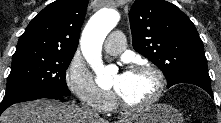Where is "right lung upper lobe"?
<instances>
[{
    "label": "right lung upper lobe",
    "mask_w": 221,
    "mask_h": 123,
    "mask_svg": "<svg viewBox=\"0 0 221 123\" xmlns=\"http://www.w3.org/2000/svg\"><path fill=\"white\" fill-rule=\"evenodd\" d=\"M88 0H57L34 17L16 51L35 49L75 53Z\"/></svg>",
    "instance_id": "1"
}]
</instances>
